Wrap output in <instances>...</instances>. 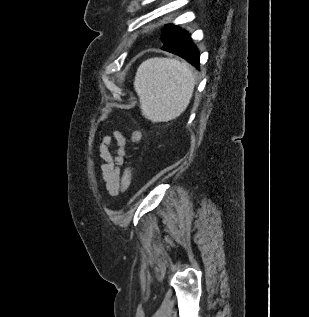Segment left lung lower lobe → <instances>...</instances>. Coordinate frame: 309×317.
Instances as JSON below:
<instances>
[{
    "label": "left lung lower lobe",
    "mask_w": 309,
    "mask_h": 317,
    "mask_svg": "<svg viewBox=\"0 0 309 317\" xmlns=\"http://www.w3.org/2000/svg\"><path fill=\"white\" fill-rule=\"evenodd\" d=\"M161 49L184 58L199 69L200 54L188 31L183 30L177 37L164 44Z\"/></svg>",
    "instance_id": "1"
}]
</instances>
